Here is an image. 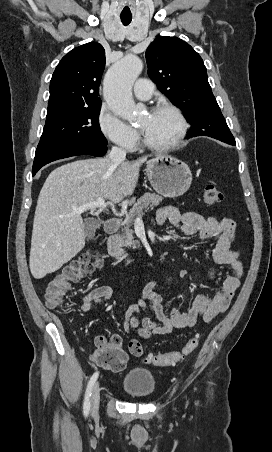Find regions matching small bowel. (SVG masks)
I'll return each instance as SVG.
<instances>
[{"mask_svg":"<svg viewBox=\"0 0 272 452\" xmlns=\"http://www.w3.org/2000/svg\"><path fill=\"white\" fill-rule=\"evenodd\" d=\"M157 222L160 225L169 222L187 237L198 236L204 241L215 240L213 260L216 265L229 266L230 274L213 295H197L186 311L176 308L165 310L161 304L163 296L157 289L158 282L156 280L148 282L138 300L125 310L123 320V329L142 339L169 334L175 329L193 327L198 318L210 322L228 309L244 273L239 252L233 249L236 230L233 219L204 217L193 211L181 213L173 206H164L157 211ZM215 275L216 271L212 269L210 276ZM113 294L109 286L94 288L82 297L80 309L82 312H89L94 305L110 300ZM101 339L106 338L99 336L96 342ZM114 340L119 343L120 338L115 336ZM130 341L138 340L133 338Z\"/></svg>","mask_w":272,"mask_h":452,"instance_id":"obj_1","label":"small bowel"}]
</instances>
